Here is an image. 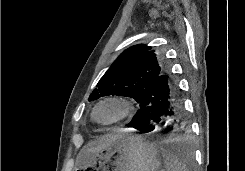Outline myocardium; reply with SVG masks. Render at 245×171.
I'll use <instances>...</instances> for the list:
<instances>
[{
    "mask_svg": "<svg viewBox=\"0 0 245 171\" xmlns=\"http://www.w3.org/2000/svg\"><path fill=\"white\" fill-rule=\"evenodd\" d=\"M106 103H115L118 104L121 107V113L120 115L110 121H102L97 117V111L99 109L100 106L106 104ZM134 111V102L133 100H131L130 98L124 97V96H118V95H114V96H109L106 97L102 100H100L94 107L93 110V118L100 124L102 125H113V124H117L125 119H127L132 112Z\"/></svg>",
    "mask_w": 245,
    "mask_h": 171,
    "instance_id": "1",
    "label": "myocardium"
}]
</instances>
